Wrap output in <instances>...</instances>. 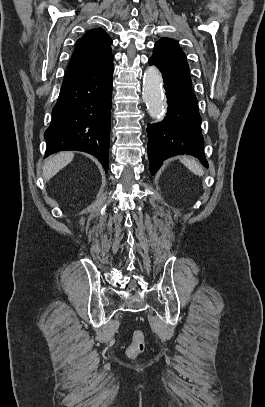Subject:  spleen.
<instances>
[{
  "instance_id": "3e777b00",
  "label": "spleen",
  "mask_w": 265,
  "mask_h": 407,
  "mask_svg": "<svg viewBox=\"0 0 265 407\" xmlns=\"http://www.w3.org/2000/svg\"><path fill=\"white\" fill-rule=\"evenodd\" d=\"M181 162L194 174L202 176L204 174L202 166L194 159L187 157L181 158Z\"/></svg>"
}]
</instances>
